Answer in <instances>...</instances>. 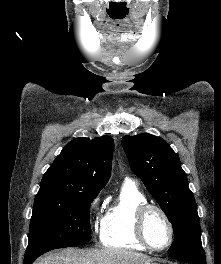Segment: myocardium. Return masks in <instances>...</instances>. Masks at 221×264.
Wrapping results in <instances>:
<instances>
[{"mask_svg": "<svg viewBox=\"0 0 221 264\" xmlns=\"http://www.w3.org/2000/svg\"><path fill=\"white\" fill-rule=\"evenodd\" d=\"M151 211L158 212L163 217V219L165 220L169 228V241L167 242L166 245L162 247H156L152 245L146 235V219H147L148 214ZM134 232H135V236L137 240L145 248L150 249L152 251H158V252L168 249L173 244L174 238H175L174 226L168 214L160 206L149 204V203L141 205L136 210L135 218H134Z\"/></svg>", "mask_w": 221, "mask_h": 264, "instance_id": "1", "label": "myocardium"}]
</instances>
